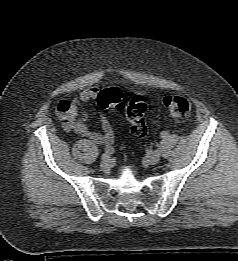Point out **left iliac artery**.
Returning <instances> with one entry per match:
<instances>
[{"label": "left iliac artery", "mask_w": 238, "mask_h": 261, "mask_svg": "<svg viewBox=\"0 0 238 261\" xmlns=\"http://www.w3.org/2000/svg\"><path fill=\"white\" fill-rule=\"evenodd\" d=\"M168 136H169V133L167 131H163L161 133V138H163V139L167 138Z\"/></svg>", "instance_id": "44dca946"}]
</instances>
